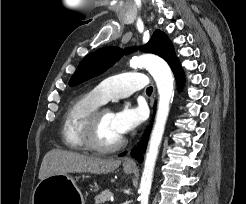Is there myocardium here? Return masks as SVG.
<instances>
[{
    "label": "myocardium",
    "instance_id": "myocardium-1",
    "mask_svg": "<svg viewBox=\"0 0 246 204\" xmlns=\"http://www.w3.org/2000/svg\"><path fill=\"white\" fill-rule=\"evenodd\" d=\"M109 111L108 109L98 108L96 109L87 119L83 129L82 137L84 144L87 149L98 152V153H111L122 148L126 139L122 137L119 141L112 145H103L97 139V133L101 116L104 112Z\"/></svg>",
    "mask_w": 246,
    "mask_h": 204
}]
</instances>
